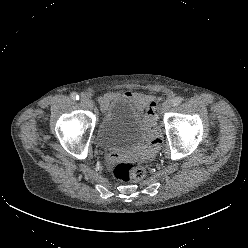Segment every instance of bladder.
<instances>
[{"mask_svg": "<svg viewBox=\"0 0 248 248\" xmlns=\"http://www.w3.org/2000/svg\"><path fill=\"white\" fill-rule=\"evenodd\" d=\"M149 129L142 109L129 99L119 97L104 112L96 131V143L105 151L134 149L145 142Z\"/></svg>", "mask_w": 248, "mask_h": 248, "instance_id": "obj_1", "label": "bladder"}]
</instances>
